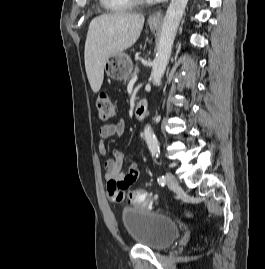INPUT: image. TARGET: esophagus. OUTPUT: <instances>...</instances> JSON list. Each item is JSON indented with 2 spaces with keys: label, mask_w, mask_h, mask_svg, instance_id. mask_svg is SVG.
I'll use <instances>...</instances> for the list:
<instances>
[{
  "label": "esophagus",
  "mask_w": 265,
  "mask_h": 269,
  "mask_svg": "<svg viewBox=\"0 0 265 269\" xmlns=\"http://www.w3.org/2000/svg\"><path fill=\"white\" fill-rule=\"evenodd\" d=\"M162 20V13L156 12L149 16L150 23H159Z\"/></svg>",
  "instance_id": "esophagus-1"
}]
</instances>
